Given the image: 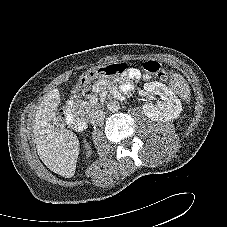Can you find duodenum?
<instances>
[{
	"mask_svg": "<svg viewBox=\"0 0 227 227\" xmlns=\"http://www.w3.org/2000/svg\"><path fill=\"white\" fill-rule=\"evenodd\" d=\"M65 117L76 131H84L88 128V122L85 118L76 114L74 105H69L65 110Z\"/></svg>",
	"mask_w": 227,
	"mask_h": 227,
	"instance_id": "1",
	"label": "duodenum"
}]
</instances>
